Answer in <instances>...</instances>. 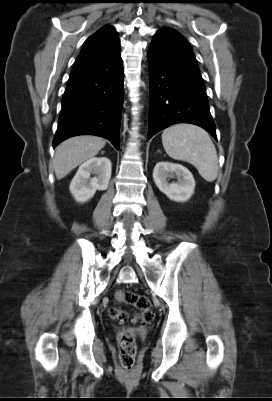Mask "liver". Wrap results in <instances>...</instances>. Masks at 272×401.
I'll return each instance as SVG.
<instances>
[{
  "instance_id": "obj_1",
  "label": "liver",
  "mask_w": 272,
  "mask_h": 401,
  "mask_svg": "<svg viewBox=\"0 0 272 401\" xmlns=\"http://www.w3.org/2000/svg\"><path fill=\"white\" fill-rule=\"evenodd\" d=\"M105 144V139L92 135L75 136L63 141L57 146L53 159L56 178H64L74 168L93 158Z\"/></svg>"
}]
</instances>
